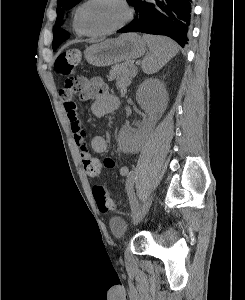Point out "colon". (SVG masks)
Listing matches in <instances>:
<instances>
[{"instance_id":"1","label":"colon","mask_w":245,"mask_h":300,"mask_svg":"<svg viewBox=\"0 0 245 300\" xmlns=\"http://www.w3.org/2000/svg\"><path fill=\"white\" fill-rule=\"evenodd\" d=\"M79 63L80 52L74 49L62 52L56 58L54 69L58 75L65 78L64 89L61 91L63 96L70 97L72 94L82 90L80 80L72 76ZM93 196L97 207L101 212L105 213L114 209L115 205L110 199L107 189L94 190L93 188Z\"/></svg>"}]
</instances>
